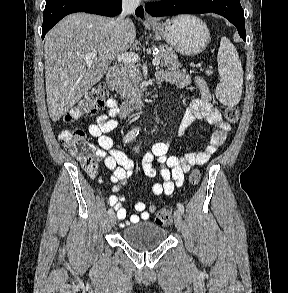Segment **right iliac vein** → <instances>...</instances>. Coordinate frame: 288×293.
Masks as SVG:
<instances>
[{
  "label": "right iliac vein",
  "mask_w": 288,
  "mask_h": 293,
  "mask_svg": "<svg viewBox=\"0 0 288 293\" xmlns=\"http://www.w3.org/2000/svg\"><path fill=\"white\" fill-rule=\"evenodd\" d=\"M109 222H110L111 226H115V224H116V216L114 214L110 215Z\"/></svg>",
  "instance_id": "63e3f726"
}]
</instances>
